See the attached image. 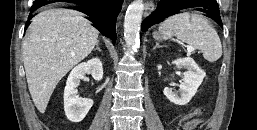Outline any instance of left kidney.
<instances>
[{
    "instance_id": "obj_1",
    "label": "left kidney",
    "mask_w": 257,
    "mask_h": 130,
    "mask_svg": "<svg viewBox=\"0 0 257 130\" xmlns=\"http://www.w3.org/2000/svg\"><path fill=\"white\" fill-rule=\"evenodd\" d=\"M177 68H186L184 72L183 83L180 85L179 92L173 91L166 87L163 91L164 95L172 103L176 105L187 104L196 94L198 87L201 85L205 72L196 64L192 58H181L173 61Z\"/></svg>"
}]
</instances>
